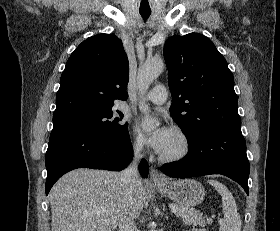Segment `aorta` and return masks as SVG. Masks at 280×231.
<instances>
[{"label":"aorta","mask_w":280,"mask_h":231,"mask_svg":"<svg viewBox=\"0 0 280 231\" xmlns=\"http://www.w3.org/2000/svg\"><path fill=\"white\" fill-rule=\"evenodd\" d=\"M165 68L163 60H148L142 64L138 72V88L141 96L145 94V90L149 88L150 84L159 78ZM139 110L144 114V121L142 123L143 131H152L155 129L158 121L156 117L150 116V108L145 102H139Z\"/></svg>","instance_id":"1"}]
</instances>
